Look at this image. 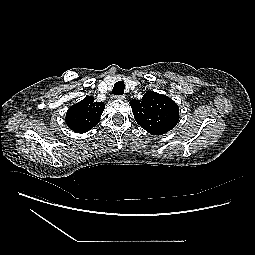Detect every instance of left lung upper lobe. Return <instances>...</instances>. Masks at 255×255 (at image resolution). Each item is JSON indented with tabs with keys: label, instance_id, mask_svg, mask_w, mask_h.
I'll return each mask as SVG.
<instances>
[{
	"label": "left lung upper lobe",
	"instance_id": "1",
	"mask_svg": "<svg viewBox=\"0 0 255 255\" xmlns=\"http://www.w3.org/2000/svg\"><path fill=\"white\" fill-rule=\"evenodd\" d=\"M136 122L152 135L170 131L179 121V107L169 97L148 91L141 100H131Z\"/></svg>",
	"mask_w": 255,
	"mask_h": 255
}]
</instances>
